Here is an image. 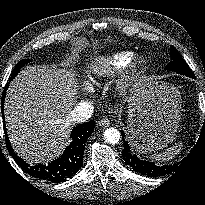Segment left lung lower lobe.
<instances>
[{
    "label": "left lung lower lobe",
    "instance_id": "obj_1",
    "mask_svg": "<svg viewBox=\"0 0 205 205\" xmlns=\"http://www.w3.org/2000/svg\"><path fill=\"white\" fill-rule=\"evenodd\" d=\"M195 78V76L191 77ZM121 134L124 137V132L121 131ZM122 156L125 163L131 166L137 172L147 175L149 177H158L164 174H167L171 171L172 166H156L155 164L139 159L135 154L131 152L130 146L127 141L124 139V149L122 151ZM175 168V167H174Z\"/></svg>",
    "mask_w": 205,
    "mask_h": 205
}]
</instances>
